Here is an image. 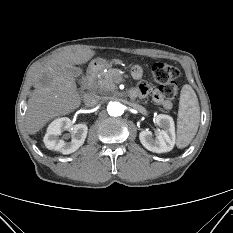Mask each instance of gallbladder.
<instances>
[{
    "mask_svg": "<svg viewBox=\"0 0 233 233\" xmlns=\"http://www.w3.org/2000/svg\"><path fill=\"white\" fill-rule=\"evenodd\" d=\"M67 71L73 76V77H79L82 74V69L79 67H71L67 68Z\"/></svg>",
    "mask_w": 233,
    "mask_h": 233,
    "instance_id": "1",
    "label": "gallbladder"
}]
</instances>
